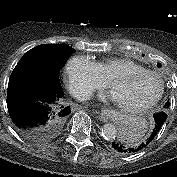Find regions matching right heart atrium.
Wrapping results in <instances>:
<instances>
[{
	"label": "right heart atrium",
	"instance_id": "right-heart-atrium-1",
	"mask_svg": "<svg viewBox=\"0 0 177 177\" xmlns=\"http://www.w3.org/2000/svg\"><path fill=\"white\" fill-rule=\"evenodd\" d=\"M66 75L70 90L78 98H86L107 84L95 62L86 56L72 57L67 62Z\"/></svg>",
	"mask_w": 177,
	"mask_h": 177
}]
</instances>
